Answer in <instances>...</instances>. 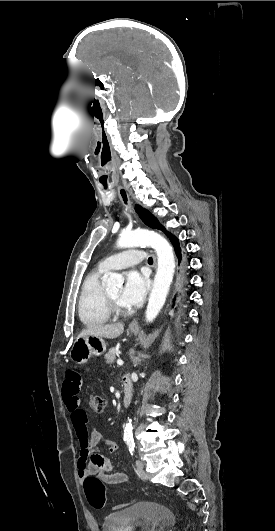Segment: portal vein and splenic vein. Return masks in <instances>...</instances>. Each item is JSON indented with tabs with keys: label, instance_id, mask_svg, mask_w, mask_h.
<instances>
[{
	"label": "portal vein and splenic vein",
	"instance_id": "obj_1",
	"mask_svg": "<svg viewBox=\"0 0 275 531\" xmlns=\"http://www.w3.org/2000/svg\"><path fill=\"white\" fill-rule=\"evenodd\" d=\"M117 365H123V361H122V359H118V361H117Z\"/></svg>",
	"mask_w": 275,
	"mask_h": 531
}]
</instances>
